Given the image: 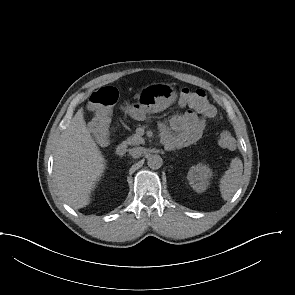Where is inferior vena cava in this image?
<instances>
[{
    "label": "inferior vena cava",
    "mask_w": 295,
    "mask_h": 295,
    "mask_svg": "<svg viewBox=\"0 0 295 295\" xmlns=\"http://www.w3.org/2000/svg\"><path fill=\"white\" fill-rule=\"evenodd\" d=\"M143 151L142 147H135L129 150V154L134 158H138L143 154Z\"/></svg>",
    "instance_id": "inferior-vena-cava-1"
}]
</instances>
